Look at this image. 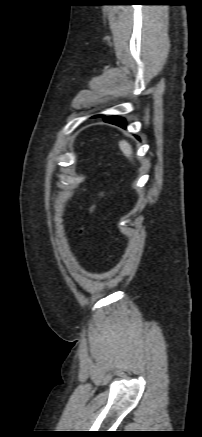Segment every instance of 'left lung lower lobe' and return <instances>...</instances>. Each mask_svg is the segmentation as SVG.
<instances>
[{"mask_svg": "<svg viewBox=\"0 0 202 437\" xmlns=\"http://www.w3.org/2000/svg\"><path fill=\"white\" fill-rule=\"evenodd\" d=\"M103 118H104L105 122H108V123H111V124H115V125L120 126L122 128L126 127L125 119H123L121 117H117V116H108V117L107 116H103Z\"/></svg>", "mask_w": 202, "mask_h": 437, "instance_id": "obj_1", "label": "left lung lower lobe"}]
</instances>
